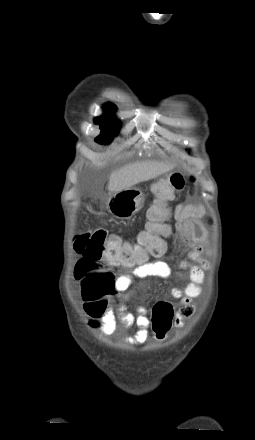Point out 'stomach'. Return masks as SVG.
<instances>
[{
  "instance_id": "stomach-1",
  "label": "stomach",
  "mask_w": 255,
  "mask_h": 440,
  "mask_svg": "<svg viewBox=\"0 0 255 440\" xmlns=\"http://www.w3.org/2000/svg\"><path fill=\"white\" fill-rule=\"evenodd\" d=\"M144 194L138 188H128L110 195L106 202L108 212L120 220H129L144 206Z\"/></svg>"
}]
</instances>
